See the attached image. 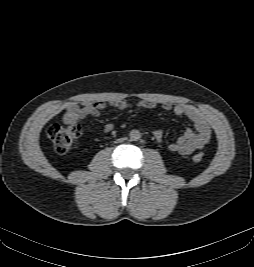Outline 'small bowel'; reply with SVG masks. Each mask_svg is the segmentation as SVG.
Wrapping results in <instances>:
<instances>
[{"label":"small bowel","mask_w":254,"mask_h":267,"mask_svg":"<svg viewBox=\"0 0 254 267\" xmlns=\"http://www.w3.org/2000/svg\"><path fill=\"white\" fill-rule=\"evenodd\" d=\"M114 107L120 110L130 109L133 107L142 109H153L157 103L153 100H141L135 104L128 102L126 99H115L110 102L97 101L86 103H70L66 106L63 115V121L69 125H78L82 119L88 116L99 117L101 111L107 107ZM164 111H172L175 115L187 118L193 123L194 129H187L176 141L169 144V150L182 155H190L194 151L203 148L211 138V129L201 112L190 105L164 104ZM113 129V124L108 123L104 126L103 132L108 133ZM156 140L162 139L159 131L154 133Z\"/></svg>","instance_id":"small-bowel-1"}]
</instances>
